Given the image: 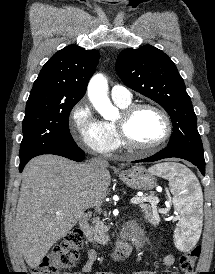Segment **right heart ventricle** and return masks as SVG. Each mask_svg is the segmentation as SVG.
<instances>
[{
	"mask_svg": "<svg viewBox=\"0 0 215 274\" xmlns=\"http://www.w3.org/2000/svg\"><path fill=\"white\" fill-rule=\"evenodd\" d=\"M114 102L121 109H124L131 104V101H129V102L114 101ZM101 123H102V127L105 130V132L113 139L114 149L119 148L122 145V143L119 139V136H118V133L116 130V126H115V122L114 121H102Z\"/></svg>",
	"mask_w": 215,
	"mask_h": 274,
	"instance_id": "1",
	"label": "right heart ventricle"
}]
</instances>
